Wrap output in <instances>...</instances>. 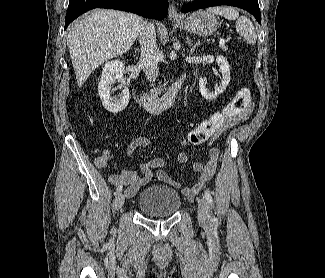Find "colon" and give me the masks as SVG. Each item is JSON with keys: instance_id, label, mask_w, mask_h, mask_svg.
Wrapping results in <instances>:
<instances>
[{"instance_id": "1", "label": "colon", "mask_w": 325, "mask_h": 278, "mask_svg": "<svg viewBox=\"0 0 325 278\" xmlns=\"http://www.w3.org/2000/svg\"><path fill=\"white\" fill-rule=\"evenodd\" d=\"M251 106L250 92L242 88L234 99L221 110L213 113L192 130L191 135L180 141V146L197 145L210 139L216 132Z\"/></svg>"}]
</instances>
